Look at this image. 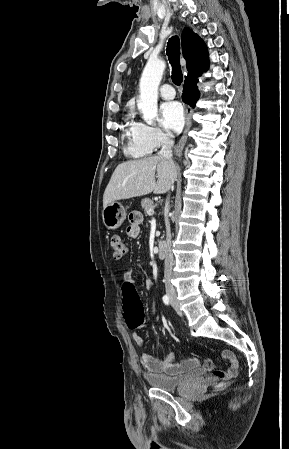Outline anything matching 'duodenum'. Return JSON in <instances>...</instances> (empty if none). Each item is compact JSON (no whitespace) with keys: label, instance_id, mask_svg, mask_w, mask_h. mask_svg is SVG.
Instances as JSON below:
<instances>
[{"label":"duodenum","instance_id":"obj_1","mask_svg":"<svg viewBox=\"0 0 289 449\" xmlns=\"http://www.w3.org/2000/svg\"><path fill=\"white\" fill-rule=\"evenodd\" d=\"M167 253V243L166 241H160L157 245V254L159 258L163 259L165 258Z\"/></svg>","mask_w":289,"mask_h":449}]
</instances>
